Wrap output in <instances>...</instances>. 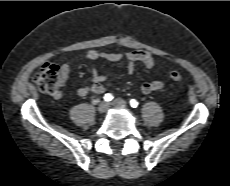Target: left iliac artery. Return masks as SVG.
Masks as SVG:
<instances>
[{
    "label": "left iliac artery",
    "instance_id": "obj_1",
    "mask_svg": "<svg viewBox=\"0 0 230 186\" xmlns=\"http://www.w3.org/2000/svg\"><path fill=\"white\" fill-rule=\"evenodd\" d=\"M129 103H130V106L133 108H137L138 106V102L135 99H131Z\"/></svg>",
    "mask_w": 230,
    "mask_h": 186
}]
</instances>
